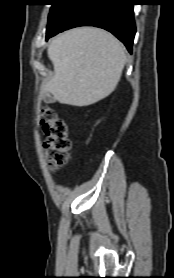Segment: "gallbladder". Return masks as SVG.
I'll list each match as a JSON object with an SVG mask.
<instances>
[{"label":"gallbladder","instance_id":"bac80fb5","mask_svg":"<svg viewBox=\"0 0 174 278\" xmlns=\"http://www.w3.org/2000/svg\"><path fill=\"white\" fill-rule=\"evenodd\" d=\"M43 100L45 103H53L54 102V98L52 97L51 93H49V92L44 94Z\"/></svg>","mask_w":174,"mask_h":278}]
</instances>
